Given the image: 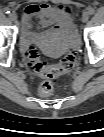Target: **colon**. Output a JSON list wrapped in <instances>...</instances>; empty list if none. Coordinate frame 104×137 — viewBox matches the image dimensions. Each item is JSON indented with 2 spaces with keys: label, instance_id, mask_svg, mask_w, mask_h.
<instances>
[{
  "label": "colon",
  "instance_id": "5ec220e1",
  "mask_svg": "<svg viewBox=\"0 0 104 137\" xmlns=\"http://www.w3.org/2000/svg\"><path fill=\"white\" fill-rule=\"evenodd\" d=\"M26 57L30 69L45 78L39 86V93L48 96L53 92L52 80L58 76L71 71L77 62L76 52L72 51L67 54L59 63L50 65L45 63L35 47H29L26 51Z\"/></svg>",
  "mask_w": 104,
  "mask_h": 137
}]
</instances>
